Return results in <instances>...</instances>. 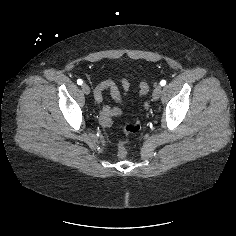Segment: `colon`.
Instances as JSON below:
<instances>
[{
  "label": "colon",
  "mask_w": 236,
  "mask_h": 236,
  "mask_svg": "<svg viewBox=\"0 0 236 236\" xmlns=\"http://www.w3.org/2000/svg\"><path fill=\"white\" fill-rule=\"evenodd\" d=\"M149 90L148 84L146 82H141L140 84V94L141 95H145ZM142 128V123L139 119H136L133 123L128 124L124 127L123 132L125 135H130V134H134L137 133L141 130ZM117 155L120 158H125L127 155V149L124 146V144H120V146L118 147L117 150Z\"/></svg>",
  "instance_id": "5ec220e1"
}]
</instances>
